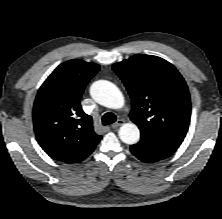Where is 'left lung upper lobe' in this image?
<instances>
[{"label": "left lung upper lobe", "instance_id": "1", "mask_svg": "<svg viewBox=\"0 0 222 219\" xmlns=\"http://www.w3.org/2000/svg\"><path fill=\"white\" fill-rule=\"evenodd\" d=\"M112 68L132 99L129 117L141 136L179 147L188 131L191 101L177 69L160 57L144 54Z\"/></svg>", "mask_w": 222, "mask_h": 219}]
</instances>
